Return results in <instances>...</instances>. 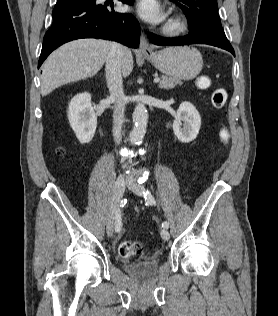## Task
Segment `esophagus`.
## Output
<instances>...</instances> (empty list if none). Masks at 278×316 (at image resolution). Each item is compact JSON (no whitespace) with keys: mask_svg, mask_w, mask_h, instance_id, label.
<instances>
[{"mask_svg":"<svg viewBox=\"0 0 278 316\" xmlns=\"http://www.w3.org/2000/svg\"><path fill=\"white\" fill-rule=\"evenodd\" d=\"M139 50L142 54L144 55H149V54H152L153 53V50L152 48L150 47L148 41H147V38L145 36L144 33L141 34V37H140V45H139Z\"/></svg>","mask_w":278,"mask_h":316,"instance_id":"esophagus-1","label":"esophagus"}]
</instances>
